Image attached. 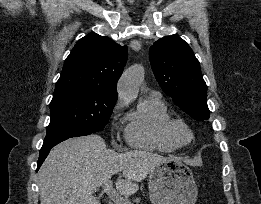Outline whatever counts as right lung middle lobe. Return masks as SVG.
Here are the masks:
<instances>
[{
	"instance_id": "obj_1",
	"label": "right lung middle lobe",
	"mask_w": 261,
	"mask_h": 204,
	"mask_svg": "<svg viewBox=\"0 0 261 204\" xmlns=\"http://www.w3.org/2000/svg\"><path fill=\"white\" fill-rule=\"evenodd\" d=\"M116 101L117 98L88 90L54 95L45 140L102 130L109 121Z\"/></svg>"
}]
</instances>
